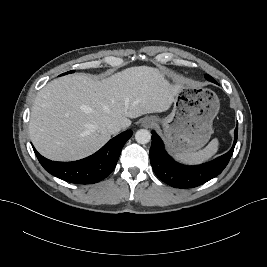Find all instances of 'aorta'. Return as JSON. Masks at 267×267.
<instances>
[{"instance_id":"aorta-1","label":"aorta","mask_w":267,"mask_h":267,"mask_svg":"<svg viewBox=\"0 0 267 267\" xmlns=\"http://www.w3.org/2000/svg\"><path fill=\"white\" fill-rule=\"evenodd\" d=\"M135 140L139 144H147L151 140V133L146 129H140L135 134Z\"/></svg>"}]
</instances>
